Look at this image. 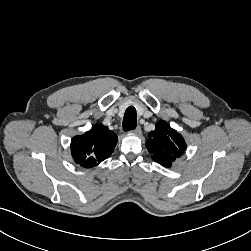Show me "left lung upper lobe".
I'll list each match as a JSON object with an SVG mask.
<instances>
[{"instance_id": "1", "label": "left lung upper lobe", "mask_w": 251, "mask_h": 251, "mask_svg": "<svg viewBox=\"0 0 251 251\" xmlns=\"http://www.w3.org/2000/svg\"><path fill=\"white\" fill-rule=\"evenodd\" d=\"M146 147L155 162L170 167L184 153L186 143L176 130L161 120L156 124L155 130L149 133Z\"/></svg>"}]
</instances>
